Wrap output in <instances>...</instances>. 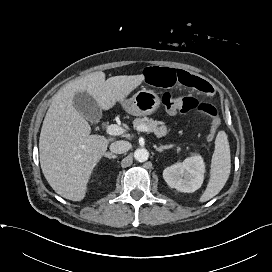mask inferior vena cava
I'll return each mask as SVG.
<instances>
[{
  "instance_id": "inferior-vena-cava-1",
  "label": "inferior vena cava",
  "mask_w": 272,
  "mask_h": 272,
  "mask_svg": "<svg viewBox=\"0 0 272 272\" xmlns=\"http://www.w3.org/2000/svg\"><path fill=\"white\" fill-rule=\"evenodd\" d=\"M131 148V143L128 141L120 140L115 141L110 145V151L116 154H122L127 152Z\"/></svg>"
}]
</instances>
